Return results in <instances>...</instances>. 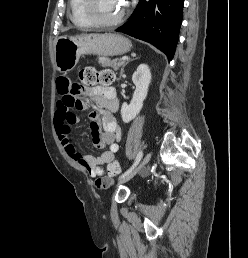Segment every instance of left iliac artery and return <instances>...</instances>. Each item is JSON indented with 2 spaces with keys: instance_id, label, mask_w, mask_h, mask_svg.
<instances>
[{
  "instance_id": "left-iliac-artery-1",
  "label": "left iliac artery",
  "mask_w": 248,
  "mask_h": 258,
  "mask_svg": "<svg viewBox=\"0 0 248 258\" xmlns=\"http://www.w3.org/2000/svg\"><path fill=\"white\" fill-rule=\"evenodd\" d=\"M142 156H143V152L141 151L137 154L136 159H135L133 165L130 167V169H128L124 174H122L119 179L124 178L126 175H128L130 172H132L135 169V167L139 164V162L141 161Z\"/></svg>"
}]
</instances>
